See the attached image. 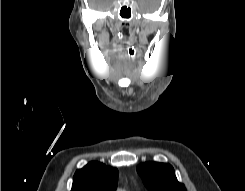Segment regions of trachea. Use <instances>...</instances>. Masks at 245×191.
<instances>
[{
    "instance_id": "trachea-1",
    "label": "trachea",
    "mask_w": 245,
    "mask_h": 191,
    "mask_svg": "<svg viewBox=\"0 0 245 191\" xmlns=\"http://www.w3.org/2000/svg\"><path fill=\"white\" fill-rule=\"evenodd\" d=\"M127 55L129 58L133 59L136 55V52L134 49L130 48L128 51H127Z\"/></svg>"
}]
</instances>
